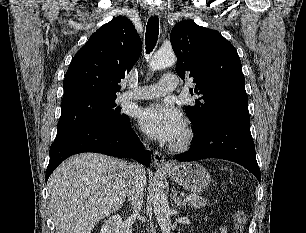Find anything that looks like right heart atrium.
Instances as JSON below:
<instances>
[{"label":"right heart atrium","mask_w":306,"mask_h":233,"mask_svg":"<svg viewBox=\"0 0 306 233\" xmlns=\"http://www.w3.org/2000/svg\"><path fill=\"white\" fill-rule=\"evenodd\" d=\"M141 140H142L143 142H146V138H144V137H142Z\"/></svg>","instance_id":"right-heart-atrium-1"}]
</instances>
